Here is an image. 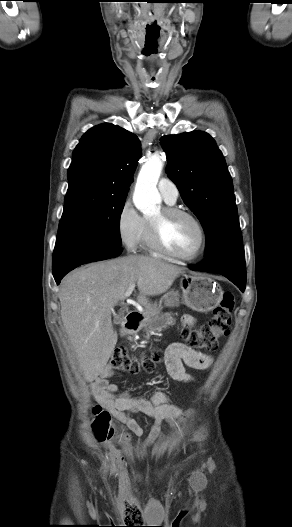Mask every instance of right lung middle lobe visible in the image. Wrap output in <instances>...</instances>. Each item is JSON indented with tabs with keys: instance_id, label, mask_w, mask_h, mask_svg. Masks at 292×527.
Wrapping results in <instances>:
<instances>
[{
	"instance_id": "1",
	"label": "right lung middle lobe",
	"mask_w": 292,
	"mask_h": 527,
	"mask_svg": "<svg viewBox=\"0 0 292 527\" xmlns=\"http://www.w3.org/2000/svg\"><path fill=\"white\" fill-rule=\"evenodd\" d=\"M126 196L89 186H69L57 237L91 236L121 245L119 222Z\"/></svg>"
}]
</instances>
